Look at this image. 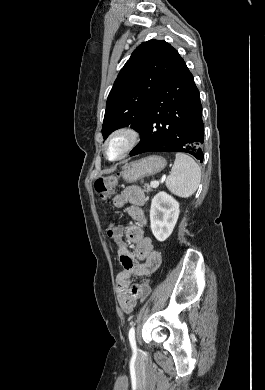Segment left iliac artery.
<instances>
[{"instance_id":"obj_1","label":"left iliac artery","mask_w":265,"mask_h":390,"mask_svg":"<svg viewBox=\"0 0 265 390\" xmlns=\"http://www.w3.org/2000/svg\"><path fill=\"white\" fill-rule=\"evenodd\" d=\"M128 336H129V341H130V345H131V348L133 350V353L136 354L137 347H136V340H135V329L133 326L130 328Z\"/></svg>"}]
</instances>
